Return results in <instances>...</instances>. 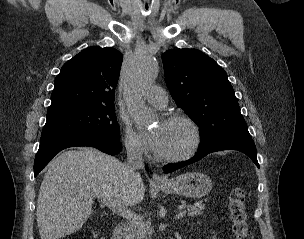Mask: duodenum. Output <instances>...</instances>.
I'll return each mask as SVG.
<instances>
[{"label": "duodenum", "mask_w": 304, "mask_h": 239, "mask_svg": "<svg viewBox=\"0 0 304 239\" xmlns=\"http://www.w3.org/2000/svg\"><path fill=\"white\" fill-rule=\"evenodd\" d=\"M113 239H128V226L126 223H119L116 225Z\"/></svg>", "instance_id": "duodenum-1"}]
</instances>
